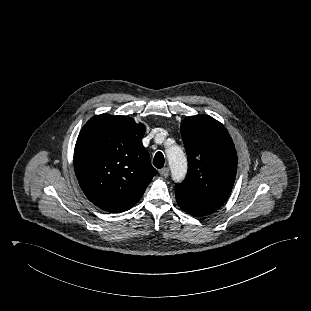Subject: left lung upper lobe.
Instances as JSON below:
<instances>
[{
    "instance_id": "left-lung-upper-lobe-1",
    "label": "left lung upper lobe",
    "mask_w": 311,
    "mask_h": 311,
    "mask_svg": "<svg viewBox=\"0 0 311 311\" xmlns=\"http://www.w3.org/2000/svg\"><path fill=\"white\" fill-rule=\"evenodd\" d=\"M181 134L188 157V173L176 188L224 204L237 173V153L231 136L220 122L208 115L184 119Z\"/></svg>"
}]
</instances>
